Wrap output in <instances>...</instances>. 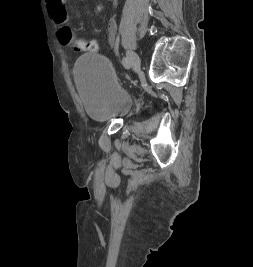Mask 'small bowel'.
I'll return each instance as SVG.
<instances>
[{
  "mask_svg": "<svg viewBox=\"0 0 253 267\" xmlns=\"http://www.w3.org/2000/svg\"><path fill=\"white\" fill-rule=\"evenodd\" d=\"M83 1V0H79ZM48 11L56 24L69 26V17L66 9L65 0H46ZM117 22L114 18L110 19L107 25V40L110 45H114L117 35Z\"/></svg>",
  "mask_w": 253,
  "mask_h": 267,
  "instance_id": "obj_1",
  "label": "small bowel"
}]
</instances>
